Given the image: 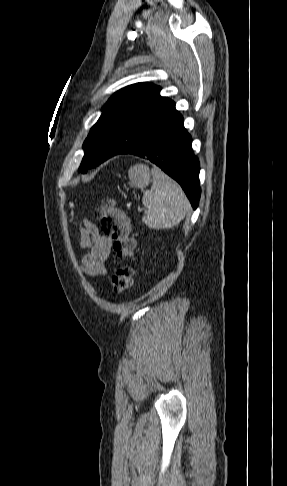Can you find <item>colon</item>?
I'll list each match as a JSON object with an SVG mask.
<instances>
[{"label": "colon", "instance_id": "obj_1", "mask_svg": "<svg viewBox=\"0 0 287 486\" xmlns=\"http://www.w3.org/2000/svg\"><path fill=\"white\" fill-rule=\"evenodd\" d=\"M95 216L100 220L103 232L111 238L118 262L110 279L111 286L117 293L124 292L131 287L134 275L129 260L133 256L136 243L130 234V222L112 200L96 209Z\"/></svg>", "mask_w": 287, "mask_h": 486}]
</instances>
